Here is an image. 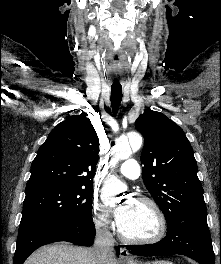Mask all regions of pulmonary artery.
I'll list each match as a JSON object with an SVG mask.
<instances>
[{"label": "pulmonary artery", "mask_w": 221, "mask_h": 264, "mask_svg": "<svg viewBox=\"0 0 221 264\" xmlns=\"http://www.w3.org/2000/svg\"><path fill=\"white\" fill-rule=\"evenodd\" d=\"M119 172L126 178L136 179L140 176L141 169L135 159H128L122 163Z\"/></svg>", "instance_id": "pulmonary-artery-1"}]
</instances>
